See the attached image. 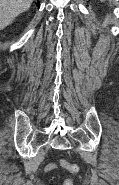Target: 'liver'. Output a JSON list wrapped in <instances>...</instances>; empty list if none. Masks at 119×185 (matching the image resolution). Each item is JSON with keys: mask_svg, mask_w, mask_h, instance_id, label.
Returning a JSON list of instances; mask_svg holds the SVG:
<instances>
[{"mask_svg": "<svg viewBox=\"0 0 119 185\" xmlns=\"http://www.w3.org/2000/svg\"><path fill=\"white\" fill-rule=\"evenodd\" d=\"M33 0H0V30L10 25L21 13L27 11Z\"/></svg>", "mask_w": 119, "mask_h": 185, "instance_id": "liver-1", "label": "liver"}]
</instances>
